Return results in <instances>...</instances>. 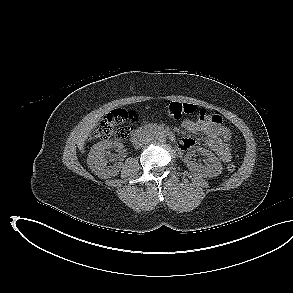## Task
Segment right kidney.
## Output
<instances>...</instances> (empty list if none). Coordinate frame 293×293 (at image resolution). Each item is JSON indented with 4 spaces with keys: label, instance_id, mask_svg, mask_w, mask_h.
<instances>
[{
    "label": "right kidney",
    "instance_id": "obj_1",
    "mask_svg": "<svg viewBox=\"0 0 293 293\" xmlns=\"http://www.w3.org/2000/svg\"><path fill=\"white\" fill-rule=\"evenodd\" d=\"M111 148L121 150L123 148V144L116 141L103 140L93 145L89 152L87 164L92 172L100 178L105 179L114 177L118 175L122 167L121 162H115L113 166H107L108 161L105 157V152Z\"/></svg>",
    "mask_w": 293,
    "mask_h": 293
}]
</instances>
